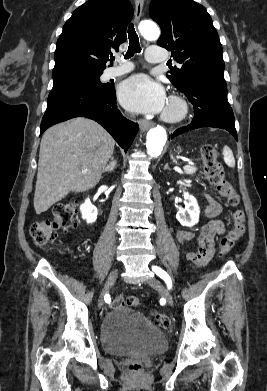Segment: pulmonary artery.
Listing matches in <instances>:
<instances>
[{
  "instance_id": "obj_1",
  "label": "pulmonary artery",
  "mask_w": 267,
  "mask_h": 391,
  "mask_svg": "<svg viewBox=\"0 0 267 391\" xmlns=\"http://www.w3.org/2000/svg\"><path fill=\"white\" fill-rule=\"evenodd\" d=\"M146 58L151 63H159L168 59L165 51L158 46H151L147 49ZM117 60L122 64L120 66L112 67L107 70L106 77L114 78L125 73L130 72L133 69V66L129 62H125L122 58H118Z\"/></svg>"
}]
</instances>
